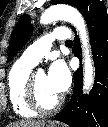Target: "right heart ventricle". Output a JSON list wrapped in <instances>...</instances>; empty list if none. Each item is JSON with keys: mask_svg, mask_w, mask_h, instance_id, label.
Returning a JSON list of instances; mask_svg holds the SVG:
<instances>
[{"mask_svg": "<svg viewBox=\"0 0 108 127\" xmlns=\"http://www.w3.org/2000/svg\"><path fill=\"white\" fill-rule=\"evenodd\" d=\"M33 64L17 60L8 73V95L14 112L23 118H32L37 112L32 110L26 99V85L31 74Z\"/></svg>", "mask_w": 108, "mask_h": 127, "instance_id": "obj_1", "label": "right heart ventricle"}]
</instances>
